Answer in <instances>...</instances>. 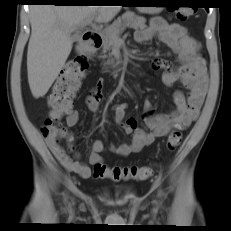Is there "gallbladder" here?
<instances>
[{
	"label": "gallbladder",
	"mask_w": 231,
	"mask_h": 231,
	"mask_svg": "<svg viewBox=\"0 0 231 231\" xmlns=\"http://www.w3.org/2000/svg\"><path fill=\"white\" fill-rule=\"evenodd\" d=\"M76 37H77V35L73 36V40H75V39H76Z\"/></svg>",
	"instance_id": "obj_1"
}]
</instances>
